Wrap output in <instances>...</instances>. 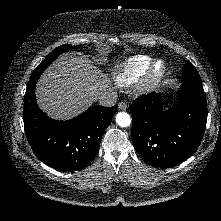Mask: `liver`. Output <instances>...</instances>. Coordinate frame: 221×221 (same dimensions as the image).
<instances>
[{
	"label": "liver",
	"instance_id": "1",
	"mask_svg": "<svg viewBox=\"0 0 221 221\" xmlns=\"http://www.w3.org/2000/svg\"><path fill=\"white\" fill-rule=\"evenodd\" d=\"M111 79L85 56L61 55L43 73L36 87L39 107L53 119L73 118L96 100Z\"/></svg>",
	"mask_w": 221,
	"mask_h": 221
}]
</instances>
